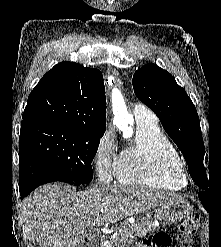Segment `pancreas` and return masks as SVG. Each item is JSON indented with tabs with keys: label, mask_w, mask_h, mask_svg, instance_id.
Returning <instances> with one entry per match:
<instances>
[{
	"label": "pancreas",
	"mask_w": 221,
	"mask_h": 247,
	"mask_svg": "<svg viewBox=\"0 0 221 247\" xmlns=\"http://www.w3.org/2000/svg\"><path fill=\"white\" fill-rule=\"evenodd\" d=\"M152 229V221L144 219L134 224H123L118 236L114 238H106L104 247H124L126 242L133 241L135 237H144Z\"/></svg>",
	"instance_id": "obj_1"
}]
</instances>
